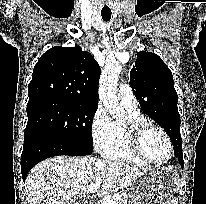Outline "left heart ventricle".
I'll return each instance as SVG.
<instances>
[{
	"instance_id": "obj_1",
	"label": "left heart ventricle",
	"mask_w": 206,
	"mask_h": 204,
	"mask_svg": "<svg viewBox=\"0 0 206 204\" xmlns=\"http://www.w3.org/2000/svg\"><path fill=\"white\" fill-rule=\"evenodd\" d=\"M145 153L154 161H164L169 156V147L165 138L156 130L149 129L143 136Z\"/></svg>"
}]
</instances>
